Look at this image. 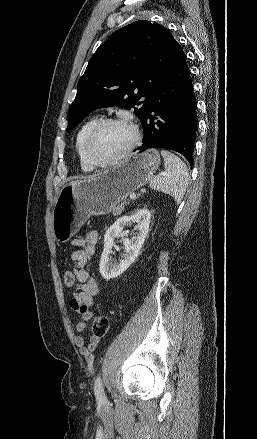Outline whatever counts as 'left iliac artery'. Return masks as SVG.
Returning a JSON list of instances; mask_svg holds the SVG:
<instances>
[{
  "label": "left iliac artery",
  "mask_w": 257,
  "mask_h": 439,
  "mask_svg": "<svg viewBox=\"0 0 257 439\" xmlns=\"http://www.w3.org/2000/svg\"><path fill=\"white\" fill-rule=\"evenodd\" d=\"M94 392H95L96 399L98 401L102 402V401L106 400L104 389H103V384H102V379H101L100 375H98L95 379Z\"/></svg>",
  "instance_id": "left-iliac-artery-1"
}]
</instances>
